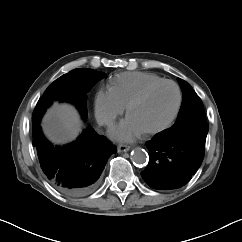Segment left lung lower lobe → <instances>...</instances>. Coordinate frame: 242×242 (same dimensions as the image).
<instances>
[{
    "label": "left lung lower lobe",
    "mask_w": 242,
    "mask_h": 242,
    "mask_svg": "<svg viewBox=\"0 0 242 242\" xmlns=\"http://www.w3.org/2000/svg\"><path fill=\"white\" fill-rule=\"evenodd\" d=\"M207 135L172 136L160 132L146 142L149 163L141 176L157 190L177 189L187 184L199 169Z\"/></svg>",
    "instance_id": "0a47b994"
}]
</instances>
